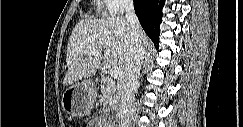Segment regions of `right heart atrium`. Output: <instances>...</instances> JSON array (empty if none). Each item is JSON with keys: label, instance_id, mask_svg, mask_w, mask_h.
Segmentation results:
<instances>
[{"label": "right heart atrium", "instance_id": "obj_1", "mask_svg": "<svg viewBox=\"0 0 243 127\" xmlns=\"http://www.w3.org/2000/svg\"><path fill=\"white\" fill-rule=\"evenodd\" d=\"M105 2L110 15L122 14L132 5L130 0H106Z\"/></svg>", "mask_w": 243, "mask_h": 127}]
</instances>
